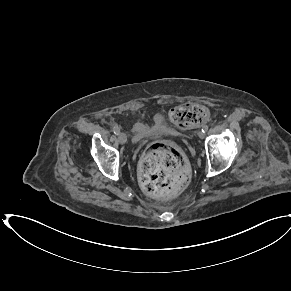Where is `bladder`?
<instances>
[{
    "mask_svg": "<svg viewBox=\"0 0 291 291\" xmlns=\"http://www.w3.org/2000/svg\"><path fill=\"white\" fill-rule=\"evenodd\" d=\"M171 132H173V129L166 123L164 117L161 115L154 116L150 123H136L133 126V133L138 140Z\"/></svg>",
    "mask_w": 291,
    "mask_h": 291,
    "instance_id": "31cf9c89",
    "label": "bladder"
}]
</instances>
